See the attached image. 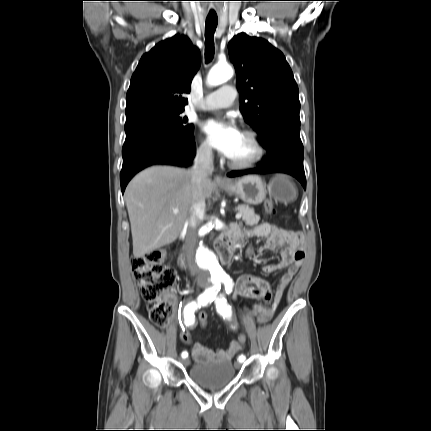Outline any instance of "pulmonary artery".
<instances>
[{"instance_id":"pulmonary-artery-1","label":"pulmonary artery","mask_w":431,"mask_h":431,"mask_svg":"<svg viewBox=\"0 0 431 431\" xmlns=\"http://www.w3.org/2000/svg\"><path fill=\"white\" fill-rule=\"evenodd\" d=\"M234 86L226 84L208 94L197 106L200 110H215L231 106L236 98Z\"/></svg>"}]
</instances>
